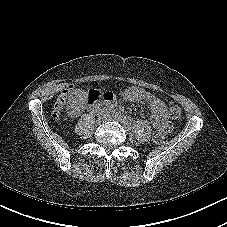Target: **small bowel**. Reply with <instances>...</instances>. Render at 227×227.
<instances>
[{"label":"small bowel","mask_w":227,"mask_h":227,"mask_svg":"<svg viewBox=\"0 0 227 227\" xmlns=\"http://www.w3.org/2000/svg\"><path fill=\"white\" fill-rule=\"evenodd\" d=\"M110 94V93H107ZM123 98L127 101L132 102H146L152 112L151 123L155 128L168 130L171 127L170 121L168 119L167 109L164 102L153 95L152 93L139 88L131 87L128 88L124 94Z\"/></svg>","instance_id":"c3829d8e"}]
</instances>
